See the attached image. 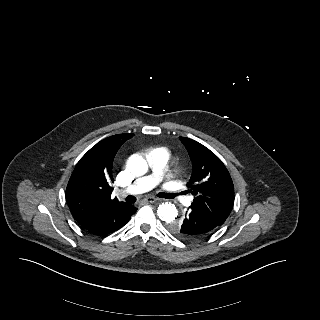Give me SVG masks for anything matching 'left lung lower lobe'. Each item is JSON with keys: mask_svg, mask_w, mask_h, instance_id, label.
<instances>
[{"mask_svg": "<svg viewBox=\"0 0 320 320\" xmlns=\"http://www.w3.org/2000/svg\"><path fill=\"white\" fill-rule=\"evenodd\" d=\"M181 226L182 232L192 238L200 239L213 233L220 225L203 213L189 208L185 217L181 220Z\"/></svg>", "mask_w": 320, "mask_h": 320, "instance_id": "obj_1", "label": "left lung lower lobe"}]
</instances>
